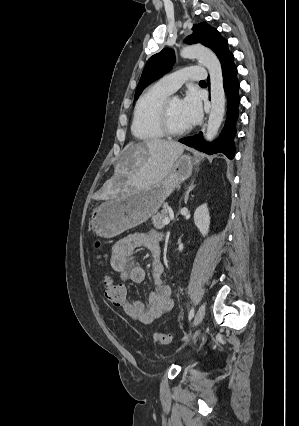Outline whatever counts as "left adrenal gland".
Segmentation results:
<instances>
[{"mask_svg": "<svg viewBox=\"0 0 299 426\" xmlns=\"http://www.w3.org/2000/svg\"><path fill=\"white\" fill-rule=\"evenodd\" d=\"M194 187H195L194 180H192L191 183H190V185H189V187H188V189H187V191H186V193H185V197H184L185 204L188 201L189 193L194 189Z\"/></svg>", "mask_w": 299, "mask_h": 426, "instance_id": "left-adrenal-gland-1", "label": "left adrenal gland"}]
</instances>
